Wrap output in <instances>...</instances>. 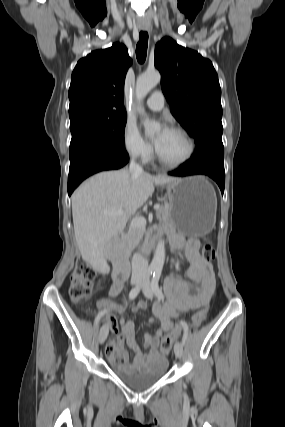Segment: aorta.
<instances>
[{
    "instance_id": "762f6f07",
    "label": "aorta",
    "mask_w": 285,
    "mask_h": 427,
    "mask_svg": "<svg viewBox=\"0 0 285 427\" xmlns=\"http://www.w3.org/2000/svg\"><path fill=\"white\" fill-rule=\"evenodd\" d=\"M161 81V75L159 72L145 73L137 78L135 94L137 101L140 102L146 97V95ZM138 112L142 114L143 108L139 105ZM160 130V126L157 124L145 123V131L154 135ZM165 261V244L163 240H159L157 247L151 262V267L156 270H162Z\"/></svg>"
}]
</instances>
